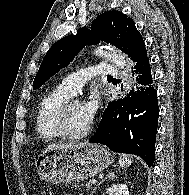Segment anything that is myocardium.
I'll return each mask as SVG.
<instances>
[{
    "mask_svg": "<svg viewBox=\"0 0 189 195\" xmlns=\"http://www.w3.org/2000/svg\"><path fill=\"white\" fill-rule=\"evenodd\" d=\"M81 103V100L78 98L71 97L68 100L64 101L59 108L57 109L54 117V126L63 138L70 140H78L86 137L93 129V123L90 124L80 133L74 134L71 133L67 127V116L70 109L75 105Z\"/></svg>",
    "mask_w": 189,
    "mask_h": 195,
    "instance_id": "f54148a6",
    "label": "myocardium"
}]
</instances>
